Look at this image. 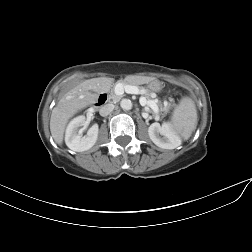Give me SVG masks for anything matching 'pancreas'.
<instances>
[{"label":"pancreas","mask_w":252,"mask_h":252,"mask_svg":"<svg viewBox=\"0 0 252 252\" xmlns=\"http://www.w3.org/2000/svg\"><path fill=\"white\" fill-rule=\"evenodd\" d=\"M118 84H121V85H122L123 83L117 82L116 85H118ZM138 88L143 89L144 92H145V91H148V92H150L152 95H155V93H153L152 91H150V90H148V89H146V88H144V87H138ZM110 96H111V98L113 99V101H115V102L121 99V96H120V95H117L113 89L111 90ZM165 104H167V105L169 106V108L171 107V104H170V103L166 102Z\"/></svg>","instance_id":"1"}]
</instances>
